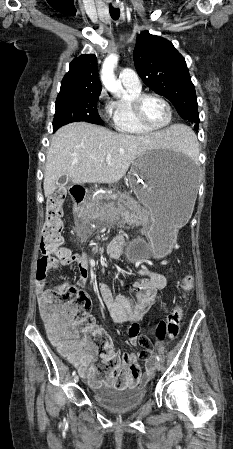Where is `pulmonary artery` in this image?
Listing matches in <instances>:
<instances>
[{
  "instance_id": "pulmonary-artery-1",
  "label": "pulmonary artery",
  "mask_w": 233,
  "mask_h": 449,
  "mask_svg": "<svg viewBox=\"0 0 233 449\" xmlns=\"http://www.w3.org/2000/svg\"><path fill=\"white\" fill-rule=\"evenodd\" d=\"M119 80L124 85L141 88L140 79L136 72L131 68L123 69L119 74Z\"/></svg>"
}]
</instances>
